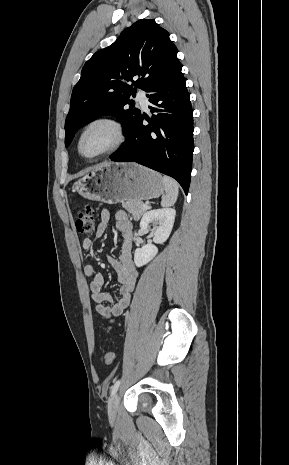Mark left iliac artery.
<instances>
[{"label":"left iliac artery","mask_w":289,"mask_h":465,"mask_svg":"<svg viewBox=\"0 0 289 465\" xmlns=\"http://www.w3.org/2000/svg\"><path fill=\"white\" fill-rule=\"evenodd\" d=\"M120 382H121L120 380H117V381L111 386V396H113V395L117 392V390H118V388H119V385H120Z\"/></svg>","instance_id":"left-iliac-artery-1"}]
</instances>
